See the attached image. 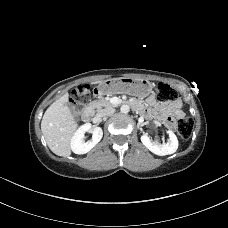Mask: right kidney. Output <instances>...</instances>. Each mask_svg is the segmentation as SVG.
<instances>
[{
	"instance_id": "1",
	"label": "right kidney",
	"mask_w": 228,
	"mask_h": 228,
	"mask_svg": "<svg viewBox=\"0 0 228 228\" xmlns=\"http://www.w3.org/2000/svg\"><path fill=\"white\" fill-rule=\"evenodd\" d=\"M86 132L92 133V139L85 142L84 137ZM103 136V130L100 127H92L91 124L87 123L78 128L74 133L70 147L75 154H85L89 152Z\"/></svg>"
}]
</instances>
